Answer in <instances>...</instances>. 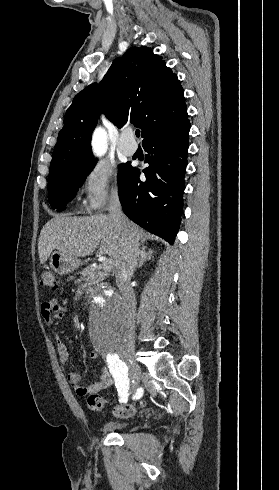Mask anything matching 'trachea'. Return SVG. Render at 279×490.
Masks as SVG:
<instances>
[{
	"label": "trachea",
	"mask_w": 279,
	"mask_h": 490,
	"mask_svg": "<svg viewBox=\"0 0 279 490\" xmlns=\"http://www.w3.org/2000/svg\"><path fill=\"white\" fill-rule=\"evenodd\" d=\"M135 135L136 137H140V130H136Z\"/></svg>",
	"instance_id": "1"
}]
</instances>
